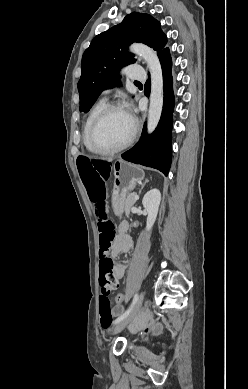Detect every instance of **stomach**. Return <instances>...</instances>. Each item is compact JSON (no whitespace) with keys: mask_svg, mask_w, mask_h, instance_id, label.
<instances>
[{"mask_svg":"<svg viewBox=\"0 0 248 389\" xmlns=\"http://www.w3.org/2000/svg\"><path fill=\"white\" fill-rule=\"evenodd\" d=\"M112 169L114 171L112 204L114 214L121 216L127 194L144 179L145 174L141 167L121 159L112 163Z\"/></svg>","mask_w":248,"mask_h":389,"instance_id":"1","label":"stomach"}]
</instances>
